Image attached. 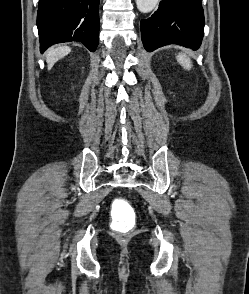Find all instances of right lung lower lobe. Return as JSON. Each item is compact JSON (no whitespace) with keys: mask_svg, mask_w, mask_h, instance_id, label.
I'll return each mask as SVG.
<instances>
[{"mask_svg":"<svg viewBox=\"0 0 249 294\" xmlns=\"http://www.w3.org/2000/svg\"><path fill=\"white\" fill-rule=\"evenodd\" d=\"M100 0H39L40 50L55 43L79 41L95 51L99 41Z\"/></svg>","mask_w":249,"mask_h":294,"instance_id":"right-lung-lower-lobe-1","label":"right lung lower lobe"}]
</instances>
